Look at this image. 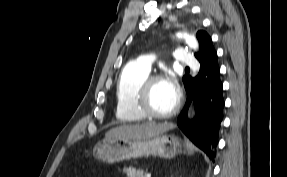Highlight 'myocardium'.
<instances>
[{
    "mask_svg": "<svg viewBox=\"0 0 287 177\" xmlns=\"http://www.w3.org/2000/svg\"><path fill=\"white\" fill-rule=\"evenodd\" d=\"M165 80L162 75H149L145 81L142 83L137 98H136V106L139 112L145 117L152 119H164L169 118L175 115L181 105V94L178 90H176V101L174 106L168 110L167 112L159 113L155 112L150 106V94L152 87L156 82Z\"/></svg>",
    "mask_w": 287,
    "mask_h": 177,
    "instance_id": "1",
    "label": "myocardium"
}]
</instances>
